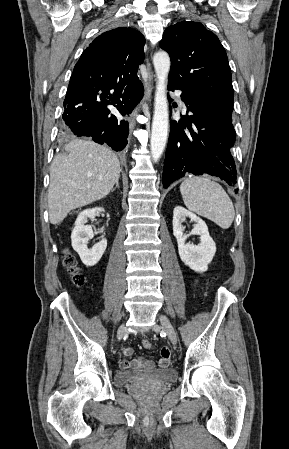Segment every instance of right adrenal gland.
<instances>
[{"instance_id": "right-adrenal-gland-1", "label": "right adrenal gland", "mask_w": 289, "mask_h": 449, "mask_svg": "<svg viewBox=\"0 0 289 449\" xmlns=\"http://www.w3.org/2000/svg\"><path fill=\"white\" fill-rule=\"evenodd\" d=\"M115 184H116L115 187L111 190L112 192L115 191L116 188H117V189L120 188V187H119V181H116Z\"/></svg>"}]
</instances>
